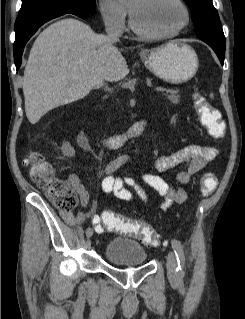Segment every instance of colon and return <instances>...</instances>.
Masks as SVG:
<instances>
[{"mask_svg": "<svg viewBox=\"0 0 245 319\" xmlns=\"http://www.w3.org/2000/svg\"><path fill=\"white\" fill-rule=\"evenodd\" d=\"M194 106L201 124L208 134L214 139H223L226 134V127L221 120L219 111L205 97L200 95L195 97ZM27 165L32 180L46 193L56 208L64 212H70L78 206L79 198L71 184L65 180L55 179L51 165L44 161L39 154L29 155ZM216 185L217 178L213 173H207L201 182L202 191L205 194L211 193ZM102 219L110 232L135 236L150 247L159 245L158 234L143 220L125 217L110 210L103 213Z\"/></svg>", "mask_w": 245, "mask_h": 319, "instance_id": "obj_1", "label": "colon"}]
</instances>
